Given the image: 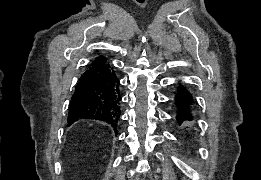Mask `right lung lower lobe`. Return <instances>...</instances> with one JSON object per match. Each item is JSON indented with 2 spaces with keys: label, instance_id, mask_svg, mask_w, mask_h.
Returning <instances> with one entry per match:
<instances>
[{
  "label": "right lung lower lobe",
  "instance_id": "obj_1",
  "mask_svg": "<svg viewBox=\"0 0 261 180\" xmlns=\"http://www.w3.org/2000/svg\"><path fill=\"white\" fill-rule=\"evenodd\" d=\"M120 102L119 80L113 68L106 60L91 64L80 77L71 97L68 124L82 119L101 120L111 124L117 133Z\"/></svg>",
  "mask_w": 261,
  "mask_h": 180
}]
</instances>
